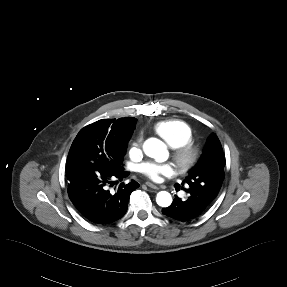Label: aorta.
<instances>
[{"instance_id": "aorta-1", "label": "aorta", "mask_w": 287, "mask_h": 287, "mask_svg": "<svg viewBox=\"0 0 287 287\" xmlns=\"http://www.w3.org/2000/svg\"><path fill=\"white\" fill-rule=\"evenodd\" d=\"M143 150L145 154L154 158L158 162H163L168 157L166 145L159 139L149 138L144 142ZM156 202L161 207H168L172 203L171 194L167 191H160L157 193Z\"/></svg>"}]
</instances>
